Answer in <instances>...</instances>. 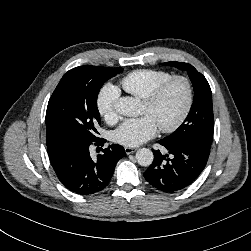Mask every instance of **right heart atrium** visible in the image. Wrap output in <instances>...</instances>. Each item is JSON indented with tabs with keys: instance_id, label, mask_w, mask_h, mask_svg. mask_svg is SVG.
Returning a JSON list of instances; mask_svg holds the SVG:
<instances>
[{
	"instance_id": "1",
	"label": "right heart atrium",
	"mask_w": 251,
	"mask_h": 251,
	"mask_svg": "<svg viewBox=\"0 0 251 251\" xmlns=\"http://www.w3.org/2000/svg\"><path fill=\"white\" fill-rule=\"evenodd\" d=\"M118 97V89L113 85L105 86L97 97L98 111L109 123H115L118 120V114L115 110Z\"/></svg>"
}]
</instances>
